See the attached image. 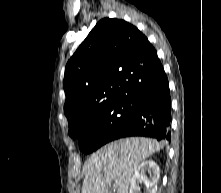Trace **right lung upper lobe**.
I'll list each match as a JSON object with an SVG mask.
<instances>
[{"label":"right lung upper lobe","mask_w":221,"mask_h":193,"mask_svg":"<svg viewBox=\"0 0 221 193\" xmlns=\"http://www.w3.org/2000/svg\"><path fill=\"white\" fill-rule=\"evenodd\" d=\"M160 66L155 48L135 26L119 19L100 20L65 68L69 130L112 102L135 99Z\"/></svg>","instance_id":"obj_1"}]
</instances>
